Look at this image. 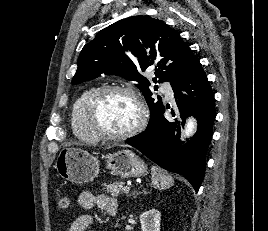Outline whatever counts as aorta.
Returning a JSON list of instances; mask_svg holds the SVG:
<instances>
[{"label":"aorta","mask_w":268,"mask_h":231,"mask_svg":"<svg viewBox=\"0 0 268 231\" xmlns=\"http://www.w3.org/2000/svg\"><path fill=\"white\" fill-rule=\"evenodd\" d=\"M195 122L193 119H189L186 123V126H185V130H184V133H185V136H191L194 131H195Z\"/></svg>","instance_id":"762f6f07"}]
</instances>
